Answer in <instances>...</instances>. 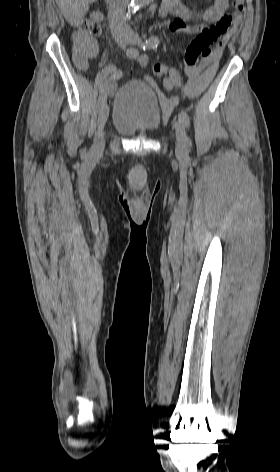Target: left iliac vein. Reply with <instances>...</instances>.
<instances>
[{
    "label": "left iliac vein",
    "mask_w": 280,
    "mask_h": 472,
    "mask_svg": "<svg viewBox=\"0 0 280 472\" xmlns=\"http://www.w3.org/2000/svg\"><path fill=\"white\" fill-rule=\"evenodd\" d=\"M127 38H128V42L131 44L141 43V39L139 35L135 32H131ZM175 131H176V150L179 153H185L188 149L189 142L186 136L184 125L181 121H177L175 123Z\"/></svg>",
    "instance_id": "left-iliac-vein-1"
}]
</instances>
